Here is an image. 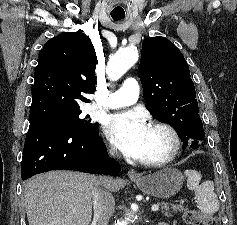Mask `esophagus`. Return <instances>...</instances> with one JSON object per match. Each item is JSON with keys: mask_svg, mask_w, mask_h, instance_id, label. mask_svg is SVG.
I'll return each mask as SVG.
<instances>
[{"mask_svg": "<svg viewBox=\"0 0 237 225\" xmlns=\"http://www.w3.org/2000/svg\"><path fill=\"white\" fill-rule=\"evenodd\" d=\"M128 177L130 178H138L139 177V174L137 173L136 170L134 169H130L127 173Z\"/></svg>", "mask_w": 237, "mask_h": 225, "instance_id": "esophagus-1", "label": "esophagus"}]
</instances>
